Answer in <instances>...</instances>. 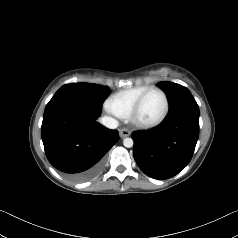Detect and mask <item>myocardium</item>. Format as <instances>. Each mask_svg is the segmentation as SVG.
<instances>
[{
	"instance_id": "myocardium-1",
	"label": "myocardium",
	"mask_w": 238,
	"mask_h": 238,
	"mask_svg": "<svg viewBox=\"0 0 238 238\" xmlns=\"http://www.w3.org/2000/svg\"><path fill=\"white\" fill-rule=\"evenodd\" d=\"M153 91H158L163 95L164 101H165L164 110H163L162 114L156 120L151 121V122H142L138 119V113H139L140 108H141L145 98L147 97V95ZM169 108H170V102H169L167 93L162 88L153 86V87L148 88L146 91H144L139 96V98L136 100L135 104L133 105L128 117H129L130 121L135 126L142 128V129H149V128L158 126L165 120V118L167 117V115L169 113Z\"/></svg>"
}]
</instances>
